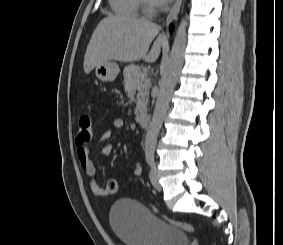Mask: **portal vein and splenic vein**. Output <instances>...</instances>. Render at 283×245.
Instances as JSON below:
<instances>
[{
	"label": "portal vein and splenic vein",
	"mask_w": 283,
	"mask_h": 245,
	"mask_svg": "<svg viewBox=\"0 0 283 245\" xmlns=\"http://www.w3.org/2000/svg\"><path fill=\"white\" fill-rule=\"evenodd\" d=\"M146 78V73H142L140 76H139V79L140 80H144Z\"/></svg>",
	"instance_id": "1"
}]
</instances>
